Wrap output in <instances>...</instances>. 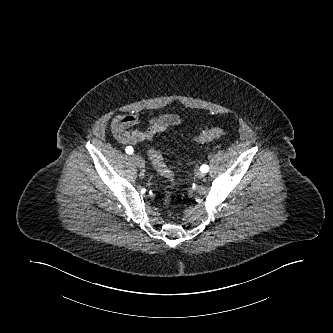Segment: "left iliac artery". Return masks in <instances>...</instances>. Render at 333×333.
Returning <instances> with one entry per match:
<instances>
[{"instance_id": "44dca946", "label": "left iliac artery", "mask_w": 333, "mask_h": 333, "mask_svg": "<svg viewBox=\"0 0 333 333\" xmlns=\"http://www.w3.org/2000/svg\"><path fill=\"white\" fill-rule=\"evenodd\" d=\"M209 170V166L207 164H203L200 168V171L203 173H207Z\"/></svg>"}]
</instances>
